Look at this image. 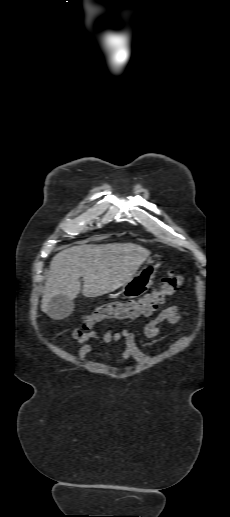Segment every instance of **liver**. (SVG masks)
<instances>
[{"label": "liver", "instance_id": "6515ba94", "mask_svg": "<svg viewBox=\"0 0 230 517\" xmlns=\"http://www.w3.org/2000/svg\"><path fill=\"white\" fill-rule=\"evenodd\" d=\"M150 251L133 243L82 244L65 248L56 254L50 264L41 310L48 313L49 301L58 295L69 300L81 290L97 297L125 285L149 257Z\"/></svg>", "mask_w": 230, "mask_h": 517}]
</instances>
